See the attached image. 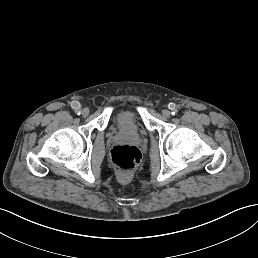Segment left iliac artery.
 Listing matches in <instances>:
<instances>
[{
	"label": "left iliac artery",
	"mask_w": 258,
	"mask_h": 258,
	"mask_svg": "<svg viewBox=\"0 0 258 258\" xmlns=\"http://www.w3.org/2000/svg\"><path fill=\"white\" fill-rule=\"evenodd\" d=\"M177 113H178V110H177V109H175V110H173V111L171 112V114H172L173 116L177 115Z\"/></svg>",
	"instance_id": "1"
}]
</instances>
